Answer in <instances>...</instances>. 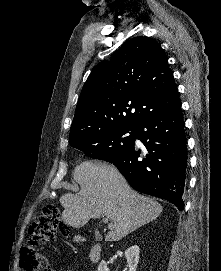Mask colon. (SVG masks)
<instances>
[{
    "mask_svg": "<svg viewBox=\"0 0 221 271\" xmlns=\"http://www.w3.org/2000/svg\"><path fill=\"white\" fill-rule=\"evenodd\" d=\"M60 213L55 205H46L42 213L33 220L30 229V241L20 247L19 267L21 271H50L49 263L37 248L55 239L57 231L63 234L67 229H59Z\"/></svg>",
    "mask_w": 221,
    "mask_h": 271,
    "instance_id": "obj_1",
    "label": "colon"
}]
</instances>
